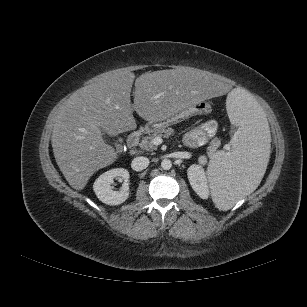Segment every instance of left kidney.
I'll list each match as a JSON object with an SVG mask.
<instances>
[{
    "instance_id": "left-kidney-1",
    "label": "left kidney",
    "mask_w": 307,
    "mask_h": 307,
    "mask_svg": "<svg viewBox=\"0 0 307 307\" xmlns=\"http://www.w3.org/2000/svg\"><path fill=\"white\" fill-rule=\"evenodd\" d=\"M187 175L189 182L197 195L202 199H207L209 197V188L204 168L201 165L193 164L188 168Z\"/></svg>"
}]
</instances>
